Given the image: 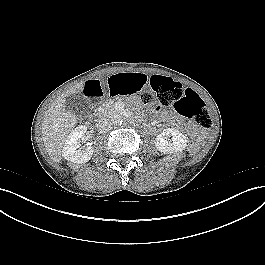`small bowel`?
<instances>
[{"mask_svg": "<svg viewBox=\"0 0 265 265\" xmlns=\"http://www.w3.org/2000/svg\"><path fill=\"white\" fill-rule=\"evenodd\" d=\"M147 78L143 72L130 71L126 74H116L102 80L91 79L85 83L84 89L88 95L95 96L103 91L112 95L133 94L146 84ZM157 112L162 118L173 119L174 113L158 107Z\"/></svg>", "mask_w": 265, "mask_h": 265, "instance_id": "small-bowel-1", "label": "small bowel"}]
</instances>
